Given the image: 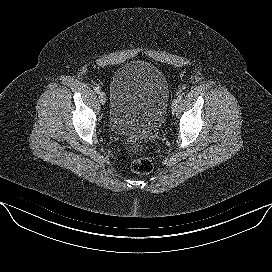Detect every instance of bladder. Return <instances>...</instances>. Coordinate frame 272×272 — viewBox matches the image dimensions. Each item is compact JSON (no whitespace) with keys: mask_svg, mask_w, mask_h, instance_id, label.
<instances>
[{"mask_svg":"<svg viewBox=\"0 0 272 272\" xmlns=\"http://www.w3.org/2000/svg\"><path fill=\"white\" fill-rule=\"evenodd\" d=\"M164 73L145 61L121 66L110 83L108 126L127 138H146L161 127L169 104Z\"/></svg>","mask_w":272,"mask_h":272,"instance_id":"bladder-1","label":"bladder"}]
</instances>
